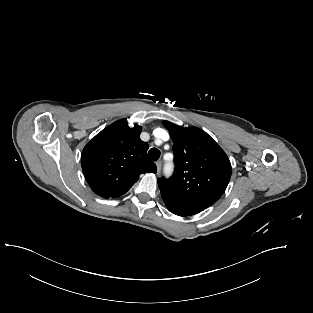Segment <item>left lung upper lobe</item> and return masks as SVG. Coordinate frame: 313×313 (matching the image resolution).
Masks as SVG:
<instances>
[{
  "label": "left lung upper lobe",
  "instance_id": "obj_1",
  "mask_svg": "<svg viewBox=\"0 0 313 313\" xmlns=\"http://www.w3.org/2000/svg\"><path fill=\"white\" fill-rule=\"evenodd\" d=\"M173 140L175 172L158 179L161 194L204 210L224 193L231 177V164L216 141L197 127L183 128L163 121Z\"/></svg>",
  "mask_w": 313,
  "mask_h": 313
}]
</instances>
